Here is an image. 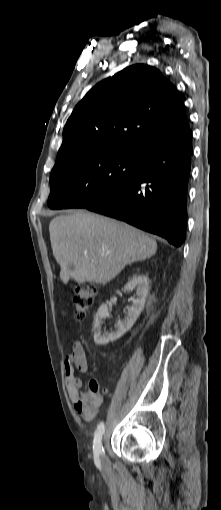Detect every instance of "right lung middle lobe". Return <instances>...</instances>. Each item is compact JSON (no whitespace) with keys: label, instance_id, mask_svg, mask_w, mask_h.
<instances>
[{"label":"right lung middle lobe","instance_id":"dd1d6c3e","mask_svg":"<svg viewBox=\"0 0 221 510\" xmlns=\"http://www.w3.org/2000/svg\"><path fill=\"white\" fill-rule=\"evenodd\" d=\"M144 152L136 147L107 148L68 157L52 169L48 206L84 208L111 195L138 172Z\"/></svg>","mask_w":221,"mask_h":510}]
</instances>
